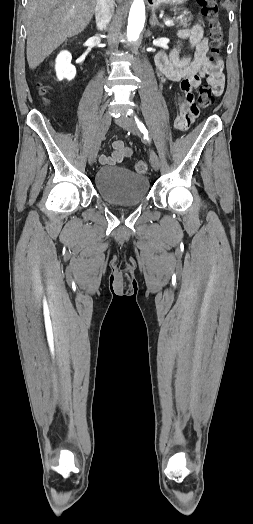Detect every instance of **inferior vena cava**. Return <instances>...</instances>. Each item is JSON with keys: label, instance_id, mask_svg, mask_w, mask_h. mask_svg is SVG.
Wrapping results in <instances>:
<instances>
[{"label": "inferior vena cava", "instance_id": "obj_1", "mask_svg": "<svg viewBox=\"0 0 253 524\" xmlns=\"http://www.w3.org/2000/svg\"><path fill=\"white\" fill-rule=\"evenodd\" d=\"M114 0H97L95 7L96 25L103 30L109 24L114 12Z\"/></svg>", "mask_w": 253, "mask_h": 524}]
</instances>
